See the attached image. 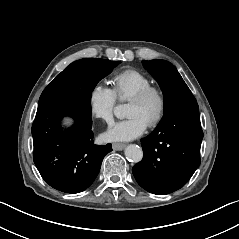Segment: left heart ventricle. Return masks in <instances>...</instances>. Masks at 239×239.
Returning a JSON list of instances; mask_svg holds the SVG:
<instances>
[{
    "instance_id": "left-heart-ventricle-1",
    "label": "left heart ventricle",
    "mask_w": 239,
    "mask_h": 239,
    "mask_svg": "<svg viewBox=\"0 0 239 239\" xmlns=\"http://www.w3.org/2000/svg\"><path fill=\"white\" fill-rule=\"evenodd\" d=\"M158 106L159 103L155 96H150L144 102L129 101L127 103V115L131 116L137 114L149 124L157 113Z\"/></svg>"
}]
</instances>
